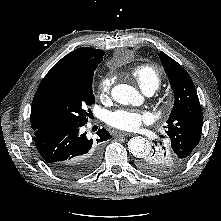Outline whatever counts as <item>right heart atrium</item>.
<instances>
[{"mask_svg":"<svg viewBox=\"0 0 221 221\" xmlns=\"http://www.w3.org/2000/svg\"><path fill=\"white\" fill-rule=\"evenodd\" d=\"M112 83H113V78L110 75H106L101 79L98 85L99 97L104 98L109 94Z\"/></svg>","mask_w":221,"mask_h":221,"instance_id":"right-heart-atrium-1","label":"right heart atrium"}]
</instances>
